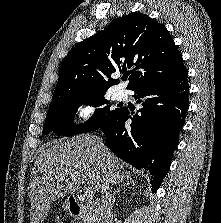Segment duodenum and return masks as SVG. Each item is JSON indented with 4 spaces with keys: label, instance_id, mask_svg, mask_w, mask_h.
Wrapping results in <instances>:
<instances>
[{
    "label": "duodenum",
    "instance_id": "410a0bca",
    "mask_svg": "<svg viewBox=\"0 0 221 223\" xmlns=\"http://www.w3.org/2000/svg\"><path fill=\"white\" fill-rule=\"evenodd\" d=\"M68 208L71 214L76 218H80L88 213H93L97 216L102 214V208L100 206L84 202L75 197H71L69 199Z\"/></svg>",
    "mask_w": 221,
    "mask_h": 223
}]
</instances>
